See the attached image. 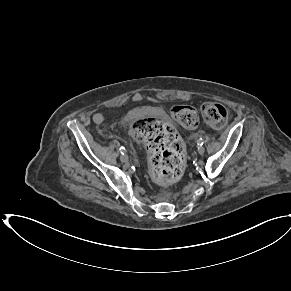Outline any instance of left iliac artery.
<instances>
[{
  "label": "left iliac artery",
  "instance_id": "obj_1",
  "mask_svg": "<svg viewBox=\"0 0 291 291\" xmlns=\"http://www.w3.org/2000/svg\"><path fill=\"white\" fill-rule=\"evenodd\" d=\"M197 144L200 145V146H202L204 144L203 139L202 138L198 139L197 140Z\"/></svg>",
  "mask_w": 291,
  "mask_h": 291
}]
</instances>
